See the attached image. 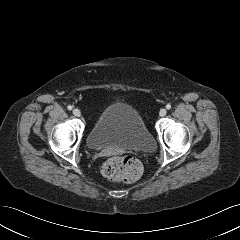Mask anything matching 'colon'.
<instances>
[{
    "label": "colon",
    "instance_id": "5ec220e1",
    "mask_svg": "<svg viewBox=\"0 0 240 240\" xmlns=\"http://www.w3.org/2000/svg\"><path fill=\"white\" fill-rule=\"evenodd\" d=\"M101 171L109 180L129 183L141 176L142 166L131 156H112L103 163Z\"/></svg>",
    "mask_w": 240,
    "mask_h": 240
}]
</instances>
